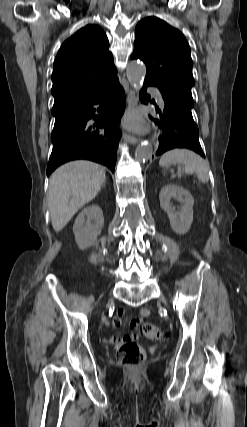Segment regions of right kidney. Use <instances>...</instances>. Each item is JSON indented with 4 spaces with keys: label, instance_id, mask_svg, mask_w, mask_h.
Instances as JSON below:
<instances>
[{
    "label": "right kidney",
    "instance_id": "1",
    "mask_svg": "<svg viewBox=\"0 0 247 427\" xmlns=\"http://www.w3.org/2000/svg\"><path fill=\"white\" fill-rule=\"evenodd\" d=\"M85 217H87V220ZM103 226L104 216L102 209L98 205L84 208L73 225V233L78 247L84 250L95 244Z\"/></svg>",
    "mask_w": 247,
    "mask_h": 427
}]
</instances>
